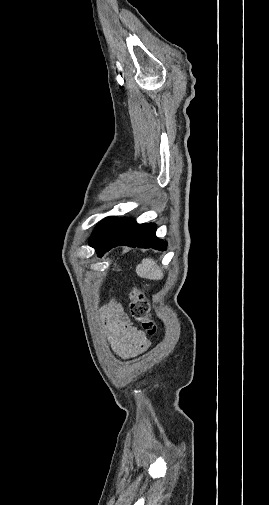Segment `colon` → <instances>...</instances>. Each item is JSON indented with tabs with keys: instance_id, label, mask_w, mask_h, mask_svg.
Instances as JSON below:
<instances>
[{
	"instance_id": "5ec220e1",
	"label": "colon",
	"mask_w": 269,
	"mask_h": 505,
	"mask_svg": "<svg viewBox=\"0 0 269 505\" xmlns=\"http://www.w3.org/2000/svg\"><path fill=\"white\" fill-rule=\"evenodd\" d=\"M129 314L132 319L141 324L148 335H154L158 326L155 322L144 292L139 288H134L130 292Z\"/></svg>"
}]
</instances>
